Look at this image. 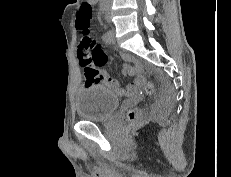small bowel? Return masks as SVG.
<instances>
[{
    "instance_id": "small-bowel-1",
    "label": "small bowel",
    "mask_w": 231,
    "mask_h": 177,
    "mask_svg": "<svg viewBox=\"0 0 231 177\" xmlns=\"http://www.w3.org/2000/svg\"><path fill=\"white\" fill-rule=\"evenodd\" d=\"M87 3L91 6L96 3V1L87 0ZM77 22V19H76ZM104 41L110 43L112 41V34H107L104 37ZM124 60L130 61L132 64H125L123 66V73H127L130 75H135V80L129 84L126 88H122L120 83L117 79L113 78L110 72L106 69H99L97 70V75L92 78H87L85 76V84L86 85H103L120 95H132L135 94L138 89L142 86L145 82V78L143 76V67L136 59L129 55H122ZM103 65V64H102ZM101 66V65H100ZM85 70V68H84Z\"/></svg>"
}]
</instances>
